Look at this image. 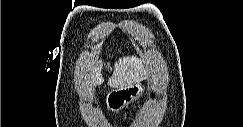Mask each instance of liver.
<instances>
[{
	"label": "liver",
	"mask_w": 243,
	"mask_h": 127,
	"mask_svg": "<svg viewBox=\"0 0 243 127\" xmlns=\"http://www.w3.org/2000/svg\"><path fill=\"white\" fill-rule=\"evenodd\" d=\"M102 60H95L92 70V85H100L104 79L101 74ZM149 71L142 58L134 56L123 57L115 62L113 75L109 78L108 84L113 88L131 85L141 82Z\"/></svg>",
	"instance_id": "1"
}]
</instances>
